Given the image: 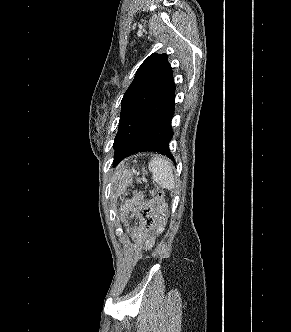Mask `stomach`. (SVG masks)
Returning <instances> with one entry per match:
<instances>
[{
    "label": "stomach",
    "mask_w": 291,
    "mask_h": 332,
    "mask_svg": "<svg viewBox=\"0 0 291 332\" xmlns=\"http://www.w3.org/2000/svg\"><path fill=\"white\" fill-rule=\"evenodd\" d=\"M134 171L120 170L115 175V184L120 191H124L131 182Z\"/></svg>",
    "instance_id": "0dacf381"
}]
</instances>
